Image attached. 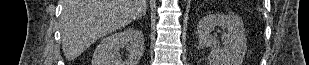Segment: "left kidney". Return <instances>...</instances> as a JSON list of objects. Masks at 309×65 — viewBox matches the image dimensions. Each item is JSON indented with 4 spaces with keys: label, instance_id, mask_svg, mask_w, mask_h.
<instances>
[{
    "label": "left kidney",
    "instance_id": "5707ae66",
    "mask_svg": "<svg viewBox=\"0 0 309 65\" xmlns=\"http://www.w3.org/2000/svg\"><path fill=\"white\" fill-rule=\"evenodd\" d=\"M216 27L226 30L220 41L211 33ZM200 47H210L208 56L210 65H242L247 51V39L243 21L237 15L222 13L205 15L197 26Z\"/></svg>",
    "mask_w": 309,
    "mask_h": 65
}]
</instances>
